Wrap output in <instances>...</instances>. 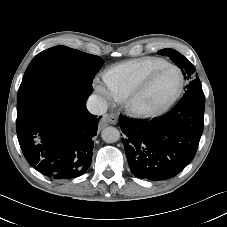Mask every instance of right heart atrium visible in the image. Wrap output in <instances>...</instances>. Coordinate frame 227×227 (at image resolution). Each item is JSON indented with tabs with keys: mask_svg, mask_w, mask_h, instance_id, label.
Instances as JSON below:
<instances>
[{
	"mask_svg": "<svg viewBox=\"0 0 227 227\" xmlns=\"http://www.w3.org/2000/svg\"><path fill=\"white\" fill-rule=\"evenodd\" d=\"M105 82V81H104ZM96 91L106 100H115V94L110 90L106 83H97L95 84Z\"/></svg>",
	"mask_w": 227,
	"mask_h": 227,
	"instance_id": "obj_1",
	"label": "right heart atrium"
}]
</instances>
